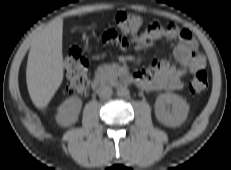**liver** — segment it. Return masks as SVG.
I'll return each instance as SVG.
<instances>
[{"label":"liver","mask_w":231,"mask_h":170,"mask_svg":"<svg viewBox=\"0 0 231 170\" xmlns=\"http://www.w3.org/2000/svg\"><path fill=\"white\" fill-rule=\"evenodd\" d=\"M63 20L51 21L33 41L27 61L26 82L37 108H45L63 81Z\"/></svg>","instance_id":"1"}]
</instances>
